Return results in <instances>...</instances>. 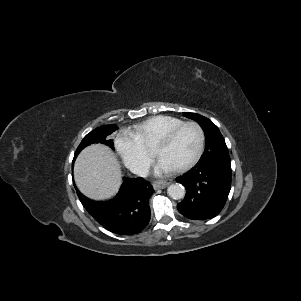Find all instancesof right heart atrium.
Wrapping results in <instances>:
<instances>
[{"mask_svg": "<svg viewBox=\"0 0 301 301\" xmlns=\"http://www.w3.org/2000/svg\"><path fill=\"white\" fill-rule=\"evenodd\" d=\"M115 147L124 165L136 174L147 172L152 162V157L130 132H120L115 139Z\"/></svg>", "mask_w": 301, "mask_h": 301, "instance_id": "right-heart-atrium-1", "label": "right heart atrium"}]
</instances>
